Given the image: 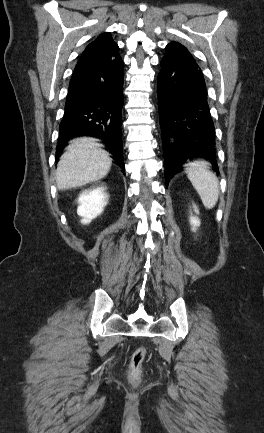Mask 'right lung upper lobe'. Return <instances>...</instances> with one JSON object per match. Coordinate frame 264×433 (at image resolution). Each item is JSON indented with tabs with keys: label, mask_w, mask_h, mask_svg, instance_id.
Wrapping results in <instances>:
<instances>
[{
	"label": "right lung upper lobe",
	"mask_w": 264,
	"mask_h": 433,
	"mask_svg": "<svg viewBox=\"0 0 264 433\" xmlns=\"http://www.w3.org/2000/svg\"><path fill=\"white\" fill-rule=\"evenodd\" d=\"M118 50L119 47L112 40L110 33H102L86 47L81 56L97 54L101 57L114 59L119 57Z\"/></svg>",
	"instance_id": "right-lung-upper-lobe-1"
}]
</instances>
